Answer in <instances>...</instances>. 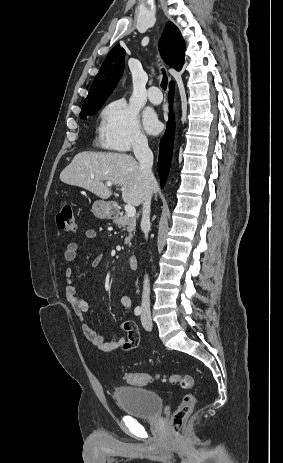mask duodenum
Returning a JSON list of instances; mask_svg holds the SVG:
<instances>
[{
    "mask_svg": "<svg viewBox=\"0 0 283 463\" xmlns=\"http://www.w3.org/2000/svg\"><path fill=\"white\" fill-rule=\"evenodd\" d=\"M111 214H116L115 211H112ZM129 266L131 270H137L138 269V258L137 256H130L129 258Z\"/></svg>",
    "mask_w": 283,
    "mask_h": 463,
    "instance_id": "duodenum-1",
    "label": "duodenum"
}]
</instances>
